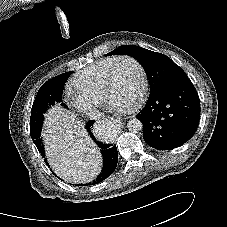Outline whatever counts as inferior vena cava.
Here are the masks:
<instances>
[{
  "label": "inferior vena cava",
  "instance_id": "1",
  "mask_svg": "<svg viewBox=\"0 0 227 227\" xmlns=\"http://www.w3.org/2000/svg\"><path fill=\"white\" fill-rule=\"evenodd\" d=\"M86 115L93 120H97L102 117V113L97 110V109H90L89 111L86 112Z\"/></svg>",
  "mask_w": 227,
  "mask_h": 227
}]
</instances>
